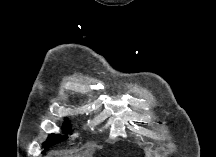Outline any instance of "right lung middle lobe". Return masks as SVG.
Wrapping results in <instances>:
<instances>
[{"label": "right lung middle lobe", "instance_id": "right-lung-middle-lobe-1", "mask_svg": "<svg viewBox=\"0 0 216 157\" xmlns=\"http://www.w3.org/2000/svg\"><path fill=\"white\" fill-rule=\"evenodd\" d=\"M70 125L69 123L66 121L64 123V127H63V130L66 132V133H69L70 132ZM65 140V137H62V136H59V135H55V134H52L49 136L48 140L43 144V147L45 149H47L48 147L56 144V143H59L61 141Z\"/></svg>", "mask_w": 216, "mask_h": 157}]
</instances>
